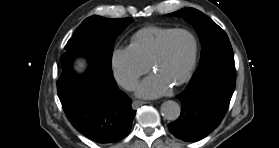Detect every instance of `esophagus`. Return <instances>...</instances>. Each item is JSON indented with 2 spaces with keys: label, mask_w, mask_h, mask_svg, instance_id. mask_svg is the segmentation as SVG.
<instances>
[{
  "label": "esophagus",
  "mask_w": 279,
  "mask_h": 148,
  "mask_svg": "<svg viewBox=\"0 0 279 148\" xmlns=\"http://www.w3.org/2000/svg\"><path fill=\"white\" fill-rule=\"evenodd\" d=\"M147 101H141V100H135L132 102V108H138L139 106L143 105V104H147Z\"/></svg>",
  "instance_id": "34e87169"
}]
</instances>
